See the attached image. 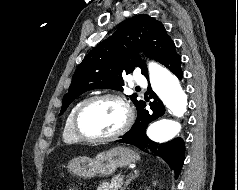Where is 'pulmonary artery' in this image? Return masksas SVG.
I'll list each match as a JSON object with an SVG mask.
<instances>
[{"instance_id": "e3ab8cb5", "label": "pulmonary artery", "mask_w": 238, "mask_h": 190, "mask_svg": "<svg viewBox=\"0 0 238 190\" xmlns=\"http://www.w3.org/2000/svg\"><path fill=\"white\" fill-rule=\"evenodd\" d=\"M133 82L137 86H145V84H146L145 78L143 76L139 75V74L134 75Z\"/></svg>"}]
</instances>
